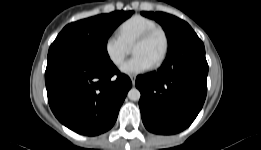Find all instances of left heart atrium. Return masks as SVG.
Here are the masks:
<instances>
[{
  "label": "left heart atrium",
  "instance_id": "39dd6f15",
  "mask_svg": "<svg viewBox=\"0 0 261 150\" xmlns=\"http://www.w3.org/2000/svg\"><path fill=\"white\" fill-rule=\"evenodd\" d=\"M152 67V64L141 55H134L121 66V71L129 75L144 73Z\"/></svg>",
  "mask_w": 261,
  "mask_h": 150
}]
</instances>
